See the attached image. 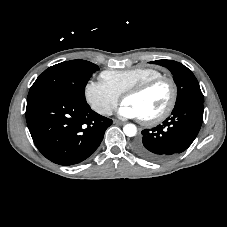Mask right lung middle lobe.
I'll return each mask as SVG.
<instances>
[{"label": "right lung middle lobe", "instance_id": "1", "mask_svg": "<svg viewBox=\"0 0 227 227\" xmlns=\"http://www.w3.org/2000/svg\"><path fill=\"white\" fill-rule=\"evenodd\" d=\"M97 65L86 60L65 61L45 70L31 86L27 100L56 95L84 101L82 88Z\"/></svg>", "mask_w": 227, "mask_h": 227}]
</instances>
